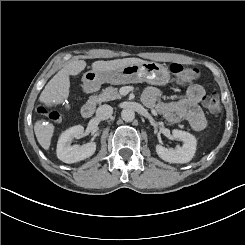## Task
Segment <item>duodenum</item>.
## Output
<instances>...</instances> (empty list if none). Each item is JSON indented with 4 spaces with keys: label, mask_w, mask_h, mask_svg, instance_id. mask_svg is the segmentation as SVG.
I'll return each mask as SVG.
<instances>
[{
    "label": "duodenum",
    "mask_w": 245,
    "mask_h": 245,
    "mask_svg": "<svg viewBox=\"0 0 245 245\" xmlns=\"http://www.w3.org/2000/svg\"><path fill=\"white\" fill-rule=\"evenodd\" d=\"M95 110V104L93 101H89L83 105L81 109V114L84 118H90Z\"/></svg>",
    "instance_id": "1"
}]
</instances>
